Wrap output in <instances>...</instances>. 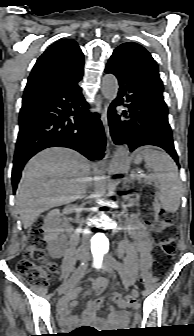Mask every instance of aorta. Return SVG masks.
Segmentation results:
<instances>
[{"instance_id":"1","label":"aorta","mask_w":194,"mask_h":336,"mask_svg":"<svg viewBox=\"0 0 194 336\" xmlns=\"http://www.w3.org/2000/svg\"><path fill=\"white\" fill-rule=\"evenodd\" d=\"M101 90L103 96L109 101L112 102L118 93V82L114 75L107 74L103 77ZM129 165V150L126 145H121L117 148L114 156L110 162L108 168L109 178L107 181V190L110 194H113L116 190L118 184L120 183L117 178L118 175L124 174ZM115 177V178H111Z\"/></svg>"}]
</instances>
